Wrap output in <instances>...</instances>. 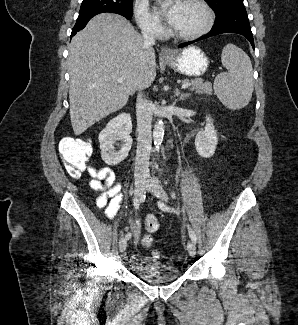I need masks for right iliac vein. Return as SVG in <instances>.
Instances as JSON below:
<instances>
[{"mask_svg": "<svg viewBox=\"0 0 298 325\" xmlns=\"http://www.w3.org/2000/svg\"><path fill=\"white\" fill-rule=\"evenodd\" d=\"M145 183H146L145 177H138L135 180L134 200L139 199L141 197L143 190L145 188ZM126 247H127V240L123 236L119 241L120 252L123 253L126 250Z\"/></svg>", "mask_w": 298, "mask_h": 325, "instance_id": "right-iliac-vein-1", "label": "right iliac vein"}]
</instances>
